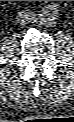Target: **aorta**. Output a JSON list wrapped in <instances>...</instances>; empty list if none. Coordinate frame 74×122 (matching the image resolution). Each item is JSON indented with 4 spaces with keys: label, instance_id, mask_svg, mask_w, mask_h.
<instances>
[{
    "label": "aorta",
    "instance_id": "762f6f07",
    "mask_svg": "<svg viewBox=\"0 0 74 122\" xmlns=\"http://www.w3.org/2000/svg\"><path fill=\"white\" fill-rule=\"evenodd\" d=\"M45 16H46V18L49 19V20H53V19H54V17H53L52 15H50V14H46Z\"/></svg>",
    "mask_w": 74,
    "mask_h": 122
}]
</instances>
